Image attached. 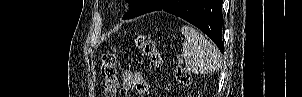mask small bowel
I'll return each instance as SVG.
<instances>
[{
  "label": "small bowel",
  "mask_w": 302,
  "mask_h": 97,
  "mask_svg": "<svg viewBox=\"0 0 302 97\" xmlns=\"http://www.w3.org/2000/svg\"><path fill=\"white\" fill-rule=\"evenodd\" d=\"M122 83L124 97L128 96V92L131 87H135L140 97H145L149 92V85L140 71L125 69L122 72Z\"/></svg>",
  "instance_id": "small-bowel-1"
}]
</instances>
